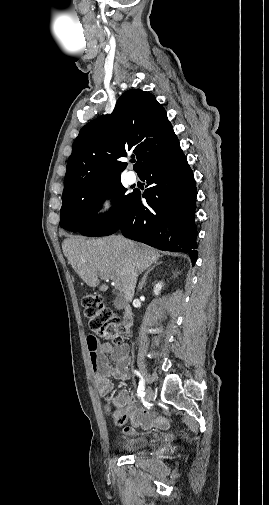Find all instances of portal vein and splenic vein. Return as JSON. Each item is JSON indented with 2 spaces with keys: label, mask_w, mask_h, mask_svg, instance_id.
<instances>
[{
  "label": "portal vein and splenic vein",
  "mask_w": 269,
  "mask_h": 505,
  "mask_svg": "<svg viewBox=\"0 0 269 505\" xmlns=\"http://www.w3.org/2000/svg\"><path fill=\"white\" fill-rule=\"evenodd\" d=\"M101 278H102V279H105L106 281H109V279L113 280V278H112V277H110V276H105V275H102V276H101ZM113 281H114V280H113ZM113 285L115 286V289H116V290H121V286H120V284H118V283H116V282L114 281V282H113Z\"/></svg>",
  "instance_id": "portal-vein-and-splenic-vein-1"
}]
</instances>
